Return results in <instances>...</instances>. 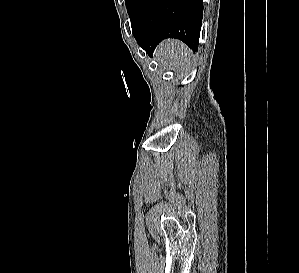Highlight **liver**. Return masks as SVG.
Segmentation results:
<instances>
[{
  "mask_svg": "<svg viewBox=\"0 0 299 273\" xmlns=\"http://www.w3.org/2000/svg\"><path fill=\"white\" fill-rule=\"evenodd\" d=\"M159 64L169 66L175 72L186 69L191 64L192 51L182 42L169 39L163 41L155 51Z\"/></svg>",
  "mask_w": 299,
  "mask_h": 273,
  "instance_id": "obj_1",
  "label": "liver"
}]
</instances>
